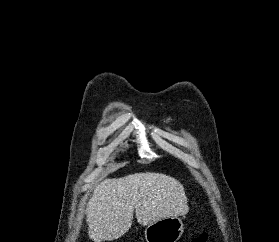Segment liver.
Wrapping results in <instances>:
<instances>
[{
  "mask_svg": "<svg viewBox=\"0 0 279 242\" xmlns=\"http://www.w3.org/2000/svg\"><path fill=\"white\" fill-rule=\"evenodd\" d=\"M134 210L139 224L185 215L189 211L183 185L161 173H135L103 180L86 208L89 237L94 242L112 241L131 227Z\"/></svg>",
  "mask_w": 279,
  "mask_h": 242,
  "instance_id": "obj_1",
  "label": "liver"
}]
</instances>
